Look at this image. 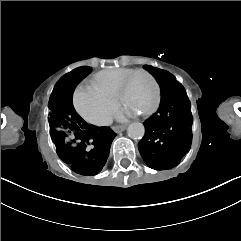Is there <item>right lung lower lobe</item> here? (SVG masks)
<instances>
[{"label":"right lung lower lobe","mask_w":241,"mask_h":241,"mask_svg":"<svg viewBox=\"0 0 241 241\" xmlns=\"http://www.w3.org/2000/svg\"><path fill=\"white\" fill-rule=\"evenodd\" d=\"M90 71L88 67H81L69 73L66 77L68 92L73 93L76 84ZM63 109L74 140L69 144H55L57 153L74 172L86 176L96 175L107 161L116 134L109 127L89 125L77 114L73 104H65Z\"/></svg>","instance_id":"right-lung-lower-lobe-1"}]
</instances>
